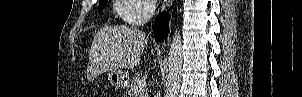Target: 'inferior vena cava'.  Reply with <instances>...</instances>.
<instances>
[{"label":"inferior vena cava","mask_w":302,"mask_h":97,"mask_svg":"<svg viewBox=\"0 0 302 97\" xmlns=\"http://www.w3.org/2000/svg\"><path fill=\"white\" fill-rule=\"evenodd\" d=\"M148 8H149L150 14L153 15L154 12H155V9H156V1L155 0H151V2L149 3Z\"/></svg>","instance_id":"602c4592"}]
</instances>
